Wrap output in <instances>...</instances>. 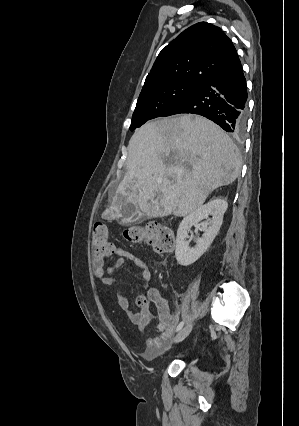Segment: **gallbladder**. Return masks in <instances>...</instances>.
Returning <instances> with one entry per match:
<instances>
[{
  "instance_id": "gallbladder-1",
  "label": "gallbladder",
  "mask_w": 299,
  "mask_h": 426,
  "mask_svg": "<svg viewBox=\"0 0 299 426\" xmlns=\"http://www.w3.org/2000/svg\"><path fill=\"white\" fill-rule=\"evenodd\" d=\"M122 217L120 224L130 225L145 220L146 216L138 214L137 208L132 204H127L122 208Z\"/></svg>"
}]
</instances>
